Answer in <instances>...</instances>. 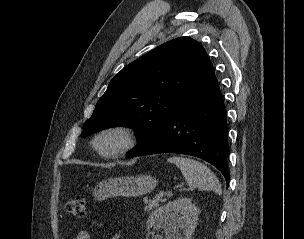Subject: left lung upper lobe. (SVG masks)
<instances>
[{
    "label": "left lung upper lobe",
    "instance_id": "1",
    "mask_svg": "<svg viewBox=\"0 0 304 239\" xmlns=\"http://www.w3.org/2000/svg\"><path fill=\"white\" fill-rule=\"evenodd\" d=\"M212 73L200 43L189 37L168 41L125 66L110 81L81 136L114 126L132 127L138 140L134 152L166 127Z\"/></svg>",
    "mask_w": 304,
    "mask_h": 239
}]
</instances>
